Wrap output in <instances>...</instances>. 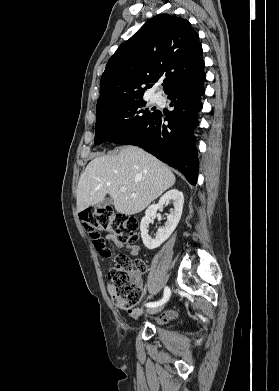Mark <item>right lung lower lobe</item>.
Here are the masks:
<instances>
[{"instance_id": "1", "label": "right lung lower lobe", "mask_w": 279, "mask_h": 391, "mask_svg": "<svg viewBox=\"0 0 279 391\" xmlns=\"http://www.w3.org/2000/svg\"><path fill=\"white\" fill-rule=\"evenodd\" d=\"M205 78L202 71L178 86L168 95L174 108L169 114L157 111L153 117L128 130L114 142L145 149L180 170L188 182L195 185L198 159L193 129L198 125L197 113L202 109Z\"/></svg>"}]
</instances>
